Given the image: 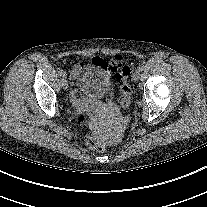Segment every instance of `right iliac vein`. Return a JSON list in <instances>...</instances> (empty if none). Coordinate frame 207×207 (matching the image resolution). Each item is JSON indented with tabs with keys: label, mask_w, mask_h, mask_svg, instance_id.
I'll return each instance as SVG.
<instances>
[{
	"label": "right iliac vein",
	"mask_w": 207,
	"mask_h": 207,
	"mask_svg": "<svg viewBox=\"0 0 207 207\" xmlns=\"http://www.w3.org/2000/svg\"><path fill=\"white\" fill-rule=\"evenodd\" d=\"M61 84H62L63 89H67L68 88V80L66 78L63 77L61 79Z\"/></svg>",
	"instance_id": "obj_1"
}]
</instances>
